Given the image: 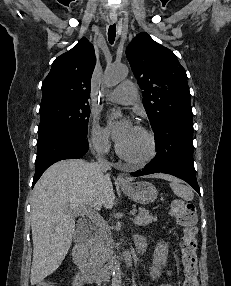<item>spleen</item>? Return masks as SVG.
Here are the masks:
<instances>
[{"mask_svg": "<svg viewBox=\"0 0 231 286\" xmlns=\"http://www.w3.org/2000/svg\"><path fill=\"white\" fill-rule=\"evenodd\" d=\"M170 181V187L176 196L181 197L186 201H191L194 198L192 190L181 184L178 179L172 178Z\"/></svg>", "mask_w": 231, "mask_h": 286, "instance_id": "spleen-1", "label": "spleen"}]
</instances>
